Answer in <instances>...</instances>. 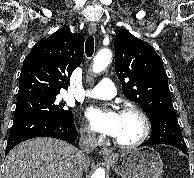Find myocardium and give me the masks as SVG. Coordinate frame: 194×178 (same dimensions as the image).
Here are the masks:
<instances>
[{"instance_id": "f54148a6", "label": "myocardium", "mask_w": 194, "mask_h": 178, "mask_svg": "<svg viewBox=\"0 0 194 178\" xmlns=\"http://www.w3.org/2000/svg\"><path fill=\"white\" fill-rule=\"evenodd\" d=\"M120 113L121 114H125V113L135 114L142 123V132L140 136L132 142H122L114 137L113 142L115 143V145H117L120 148L130 149V148H135L143 144L147 140L150 134V131H151V124H150V120L147 114L142 109L134 105L123 107L120 110Z\"/></svg>"}]
</instances>
